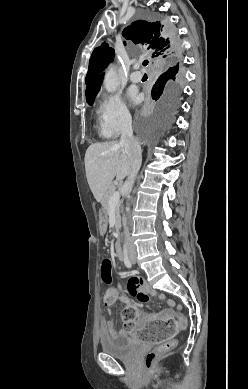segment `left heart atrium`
Here are the masks:
<instances>
[{
    "mask_svg": "<svg viewBox=\"0 0 248 389\" xmlns=\"http://www.w3.org/2000/svg\"><path fill=\"white\" fill-rule=\"evenodd\" d=\"M127 96L130 102H132L133 104H137L139 102V96L136 92L129 91Z\"/></svg>",
    "mask_w": 248,
    "mask_h": 389,
    "instance_id": "39dd6f15",
    "label": "left heart atrium"
}]
</instances>
